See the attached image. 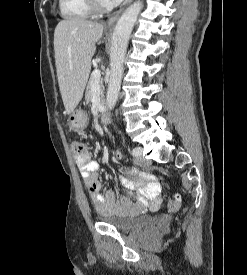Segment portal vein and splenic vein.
<instances>
[{
    "mask_svg": "<svg viewBox=\"0 0 247 275\" xmlns=\"http://www.w3.org/2000/svg\"><path fill=\"white\" fill-rule=\"evenodd\" d=\"M91 77L93 79V84L96 85V86H99L100 78H101L100 70L99 69H95L92 72Z\"/></svg>",
    "mask_w": 247,
    "mask_h": 275,
    "instance_id": "obj_1",
    "label": "portal vein and splenic vein"
}]
</instances>
